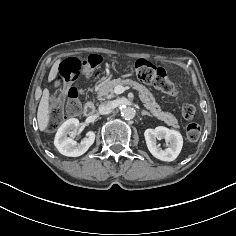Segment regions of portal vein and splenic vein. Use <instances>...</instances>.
Listing matches in <instances>:
<instances>
[{
	"label": "portal vein and splenic vein",
	"mask_w": 236,
	"mask_h": 236,
	"mask_svg": "<svg viewBox=\"0 0 236 236\" xmlns=\"http://www.w3.org/2000/svg\"><path fill=\"white\" fill-rule=\"evenodd\" d=\"M128 88L127 87H123L121 85H118L114 88V92L116 94H122L125 90H127Z\"/></svg>",
	"instance_id": "1"
}]
</instances>
